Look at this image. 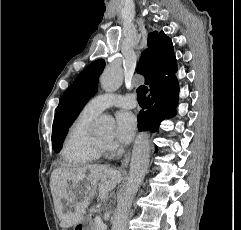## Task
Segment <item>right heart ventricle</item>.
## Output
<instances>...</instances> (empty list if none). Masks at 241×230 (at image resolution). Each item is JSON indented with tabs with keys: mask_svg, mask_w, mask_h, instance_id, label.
I'll return each mask as SVG.
<instances>
[{
	"mask_svg": "<svg viewBox=\"0 0 241 230\" xmlns=\"http://www.w3.org/2000/svg\"><path fill=\"white\" fill-rule=\"evenodd\" d=\"M96 116L83 110L68 128L61 151V159L66 165L89 164L101 155L102 144L91 133Z\"/></svg>",
	"mask_w": 241,
	"mask_h": 230,
	"instance_id": "obj_1",
	"label": "right heart ventricle"
}]
</instances>
